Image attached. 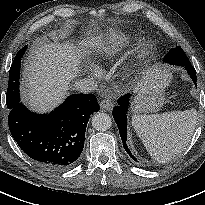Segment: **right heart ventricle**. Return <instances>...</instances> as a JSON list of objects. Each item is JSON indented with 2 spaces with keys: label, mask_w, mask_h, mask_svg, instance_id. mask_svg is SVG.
I'll use <instances>...</instances> for the list:
<instances>
[{
  "label": "right heart ventricle",
  "mask_w": 205,
  "mask_h": 205,
  "mask_svg": "<svg viewBox=\"0 0 205 205\" xmlns=\"http://www.w3.org/2000/svg\"><path fill=\"white\" fill-rule=\"evenodd\" d=\"M132 38L123 31L111 33L108 41L100 46L95 53L97 63H105L115 59L121 52L130 45Z\"/></svg>",
  "instance_id": "right-heart-ventricle-1"
}]
</instances>
